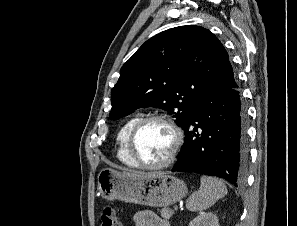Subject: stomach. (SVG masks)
I'll use <instances>...</instances> for the list:
<instances>
[{
	"label": "stomach",
	"instance_id": "stomach-1",
	"mask_svg": "<svg viewBox=\"0 0 297 226\" xmlns=\"http://www.w3.org/2000/svg\"><path fill=\"white\" fill-rule=\"evenodd\" d=\"M97 179L99 193L106 200L119 199L145 206L166 207L188 193L184 181L166 173L128 177L106 168L100 171Z\"/></svg>",
	"mask_w": 297,
	"mask_h": 226
}]
</instances>
